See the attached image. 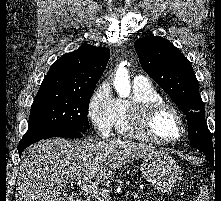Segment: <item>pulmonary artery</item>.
<instances>
[{
	"label": "pulmonary artery",
	"instance_id": "obj_1",
	"mask_svg": "<svg viewBox=\"0 0 221 201\" xmlns=\"http://www.w3.org/2000/svg\"><path fill=\"white\" fill-rule=\"evenodd\" d=\"M134 83L136 84H146V83H149L148 82V79L146 76L144 75H137L134 77Z\"/></svg>",
	"mask_w": 221,
	"mask_h": 201
}]
</instances>
